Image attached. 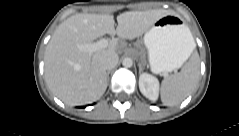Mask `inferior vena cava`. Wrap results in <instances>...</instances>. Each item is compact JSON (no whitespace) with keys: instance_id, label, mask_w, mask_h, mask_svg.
Wrapping results in <instances>:
<instances>
[{"instance_id":"obj_1","label":"inferior vena cava","mask_w":239,"mask_h":136,"mask_svg":"<svg viewBox=\"0 0 239 136\" xmlns=\"http://www.w3.org/2000/svg\"><path fill=\"white\" fill-rule=\"evenodd\" d=\"M119 57L117 54H108L101 58V64L105 70L110 71L118 63Z\"/></svg>"}]
</instances>
